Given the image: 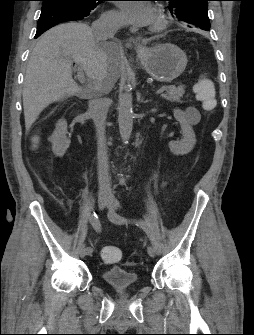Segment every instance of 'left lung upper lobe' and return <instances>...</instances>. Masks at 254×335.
<instances>
[{
    "label": "left lung upper lobe",
    "mask_w": 254,
    "mask_h": 335,
    "mask_svg": "<svg viewBox=\"0 0 254 335\" xmlns=\"http://www.w3.org/2000/svg\"><path fill=\"white\" fill-rule=\"evenodd\" d=\"M169 4L173 17L190 28L209 31L208 1L210 0H163Z\"/></svg>",
    "instance_id": "1"
}]
</instances>
